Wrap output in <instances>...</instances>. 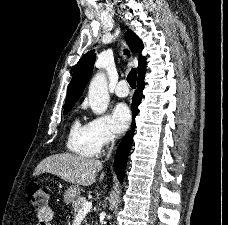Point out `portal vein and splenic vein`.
Instances as JSON below:
<instances>
[{
	"label": "portal vein and splenic vein",
	"mask_w": 228,
	"mask_h": 225,
	"mask_svg": "<svg viewBox=\"0 0 228 225\" xmlns=\"http://www.w3.org/2000/svg\"><path fill=\"white\" fill-rule=\"evenodd\" d=\"M92 209V203H84L83 207H81L78 215H83V213H87V211H90Z\"/></svg>",
	"instance_id": "18ae733b"
}]
</instances>
